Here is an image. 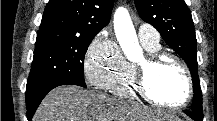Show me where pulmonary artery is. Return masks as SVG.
<instances>
[{
	"label": "pulmonary artery",
	"mask_w": 217,
	"mask_h": 121,
	"mask_svg": "<svg viewBox=\"0 0 217 121\" xmlns=\"http://www.w3.org/2000/svg\"><path fill=\"white\" fill-rule=\"evenodd\" d=\"M138 36L141 42L149 44H159L160 35L158 31L150 24L142 23L138 27Z\"/></svg>",
	"instance_id": "obj_1"
}]
</instances>
